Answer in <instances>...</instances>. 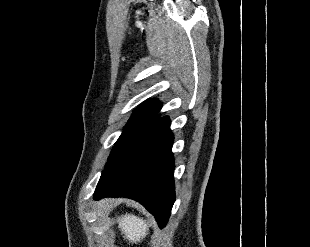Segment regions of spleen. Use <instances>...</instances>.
Listing matches in <instances>:
<instances>
[{"mask_svg":"<svg viewBox=\"0 0 310 247\" xmlns=\"http://www.w3.org/2000/svg\"><path fill=\"white\" fill-rule=\"evenodd\" d=\"M118 223L124 238L131 243L140 242L148 234L147 222L133 214L121 216Z\"/></svg>","mask_w":310,"mask_h":247,"instance_id":"spleen-1","label":"spleen"}]
</instances>
